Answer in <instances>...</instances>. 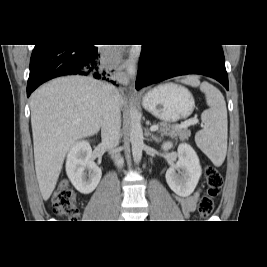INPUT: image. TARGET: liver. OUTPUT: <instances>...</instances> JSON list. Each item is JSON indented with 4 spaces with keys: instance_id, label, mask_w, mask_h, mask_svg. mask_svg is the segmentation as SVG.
<instances>
[{
    "instance_id": "6515ba94",
    "label": "liver",
    "mask_w": 267,
    "mask_h": 267,
    "mask_svg": "<svg viewBox=\"0 0 267 267\" xmlns=\"http://www.w3.org/2000/svg\"><path fill=\"white\" fill-rule=\"evenodd\" d=\"M107 84L89 77L52 80L31 95V126L36 177L47 201L65 156L76 141L97 134L105 114ZM120 107L123 99L118 93Z\"/></svg>"
}]
</instances>
